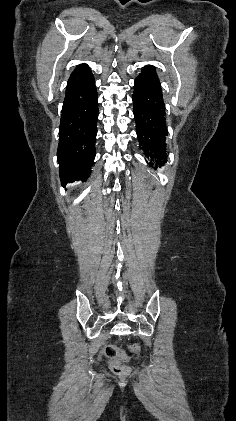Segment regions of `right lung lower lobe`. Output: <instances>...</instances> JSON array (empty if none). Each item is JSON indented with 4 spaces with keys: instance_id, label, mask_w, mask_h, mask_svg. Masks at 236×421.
Listing matches in <instances>:
<instances>
[{
    "instance_id": "98d812e1",
    "label": "right lung lower lobe",
    "mask_w": 236,
    "mask_h": 421,
    "mask_svg": "<svg viewBox=\"0 0 236 421\" xmlns=\"http://www.w3.org/2000/svg\"><path fill=\"white\" fill-rule=\"evenodd\" d=\"M98 100L90 68L81 64L66 86L59 128L57 159L61 184L85 182L95 157Z\"/></svg>"
}]
</instances>
